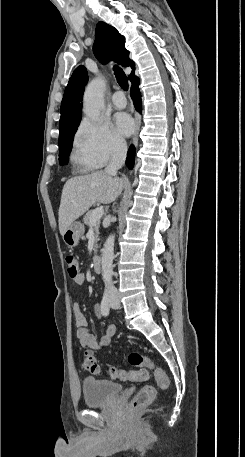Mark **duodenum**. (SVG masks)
<instances>
[{
    "instance_id": "obj_1",
    "label": "duodenum",
    "mask_w": 245,
    "mask_h": 457,
    "mask_svg": "<svg viewBox=\"0 0 245 457\" xmlns=\"http://www.w3.org/2000/svg\"><path fill=\"white\" fill-rule=\"evenodd\" d=\"M101 263H102L101 256L95 255L92 259V267L95 272H99L101 270Z\"/></svg>"
}]
</instances>
